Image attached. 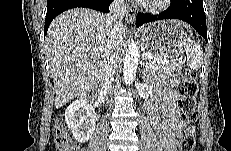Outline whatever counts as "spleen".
I'll return each instance as SVG.
<instances>
[{"mask_svg":"<svg viewBox=\"0 0 231 151\" xmlns=\"http://www.w3.org/2000/svg\"><path fill=\"white\" fill-rule=\"evenodd\" d=\"M181 43L187 55V66L197 71L203 63V51L201 46L192 41L187 35L181 37Z\"/></svg>","mask_w":231,"mask_h":151,"instance_id":"obj_1","label":"spleen"}]
</instances>
